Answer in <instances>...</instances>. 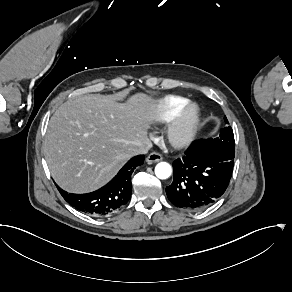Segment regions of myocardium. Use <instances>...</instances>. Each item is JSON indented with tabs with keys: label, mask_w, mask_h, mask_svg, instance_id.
Returning <instances> with one entry per match:
<instances>
[{
	"label": "myocardium",
	"mask_w": 292,
	"mask_h": 292,
	"mask_svg": "<svg viewBox=\"0 0 292 292\" xmlns=\"http://www.w3.org/2000/svg\"><path fill=\"white\" fill-rule=\"evenodd\" d=\"M200 121V111L196 104L187 103L169 120L165 136L175 147H184L193 139Z\"/></svg>",
	"instance_id": "1"
}]
</instances>
